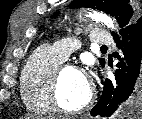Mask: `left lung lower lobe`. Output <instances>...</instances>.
I'll return each mask as SVG.
<instances>
[{"label":"left lung lower lobe","instance_id":"left-lung-lower-lobe-1","mask_svg":"<svg viewBox=\"0 0 142 119\" xmlns=\"http://www.w3.org/2000/svg\"><path fill=\"white\" fill-rule=\"evenodd\" d=\"M123 41L113 35L115 43L122 49L124 61L117 64L118 86L113 87L106 79L103 93L91 110L94 116L110 117L117 109L137 114L142 109V17L128 25L122 32Z\"/></svg>","mask_w":142,"mask_h":119}]
</instances>
